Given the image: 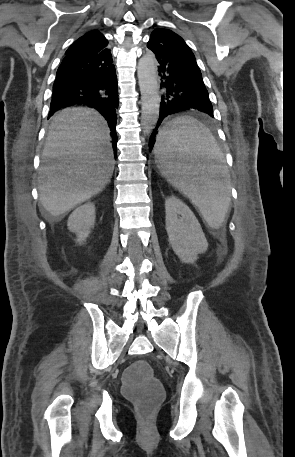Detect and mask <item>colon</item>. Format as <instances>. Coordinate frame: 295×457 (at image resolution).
<instances>
[{
	"instance_id": "5ec220e1",
	"label": "colon",
	"mask_w": 295,
	"mask_h": 457,
	"mask_svg": "<svg viewBox=\"0 0 295 457\" xmlns=\"http://www.w3.org/2000/svg\"><path fill=\"white\" fill-rule=\"evenodd\" d=\"M121 390L137 407L140 417L148 420L156 410L161 398L162 387L154 379L151 363H130L125 369Z\"/></svg>"
}]
</instances>
